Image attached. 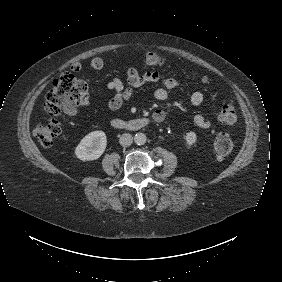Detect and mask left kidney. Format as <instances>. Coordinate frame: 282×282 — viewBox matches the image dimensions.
I'll return each mask as SVG.
<instances>
[{
  "label": "left kidney",
  "mask_w": 282,
  "mask_h": 282,
  "mask_svg": "<svg viewBox=\"0 0 282 282\" xmlns=\"http://www.w3.org/2000/svg\"><path fill=\"white\" fill-rule=\"evenodd\" d=\"M184 147L188 150L192 149L197 141V135L194 131H189L184 135Z\"/></svg>",
  "instance_id": "5707ae66"
}]
</instances>
